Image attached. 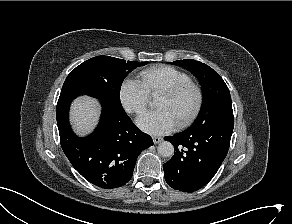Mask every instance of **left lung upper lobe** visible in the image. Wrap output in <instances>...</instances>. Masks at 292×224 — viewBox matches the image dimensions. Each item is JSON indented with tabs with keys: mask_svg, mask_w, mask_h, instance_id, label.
Listing matches in <instances>:
<instances>
[{
	"mask_svg": "<svg viewBox=\"0 0 292 224\" xmlns=\"http://www.w3.org/2000/svg\"><path fill=\"white\" fill-rule=\"evenodd\" d=\"M170 63L191 71L202 86L201 110L187 130L199 131L213 124L234 121L229 89L216 71L204 63L191 59Z\"/></svg>",
	"mask_w": 292,
	"mask_h": 224,
	"instance_id": "1",
	"label": "left lung upper lobe"
}]
</instances>
